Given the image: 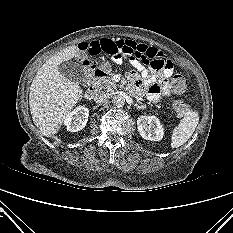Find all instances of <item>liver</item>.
<instances>
[{"label": "liver", "mask_w": 233, "mask_h": 233, "mask_svg": "<svg viewBox=\"0 0 233 233\" xmlns=\"http://www.w3.org/2000/svg\"><path fill=\"white\" fill-rule=\"evenodd\" d=\"M77 46H69L49 58L37 71L29 94L34 124L46 136L56 134L66 116L82 98L83 90L58 71V65L76 56Z\"/></svg>", "instance_id": "1"}]
</instances>
